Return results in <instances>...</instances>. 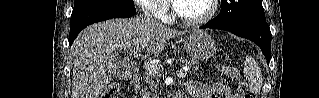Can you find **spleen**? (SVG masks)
<instances>
[{
    "label": "spleen",
    "instance_id": "1",
    "mask_svg": "<svg viewBox=\"0 0 319 98\" xmlns=\"http://www.w3.org/2000/svg\"><path fill=\"white\" fill-rule=\"evenodd\" d=\"M244 75L248 80L250 90L257 94L262 86V73L255 59L247 56L245 59Z\"/></svg>",
    "mask_w": 319,
    "mask_h": 98
}]
</instances>
